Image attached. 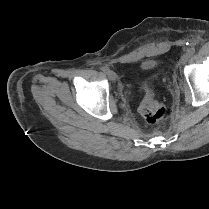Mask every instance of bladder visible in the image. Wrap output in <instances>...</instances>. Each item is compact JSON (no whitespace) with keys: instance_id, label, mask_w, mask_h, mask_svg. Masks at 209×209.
<instances>
[{"instance_id":"obj_1","label":"bladder","mask_w":209,"mask_h":209,"mask_svg":"<svg viewBox=\"0 0 209 209\" xmlns=\"http://www.w3.org/2000/svg\"><path fill=\"white\" fill-rule=\"evenodd\" d=\"M154 65H155V61L154 60H145L142 63L141 67L143 69H150V68L154 67Z\"/></svg>"}]
</instances>
